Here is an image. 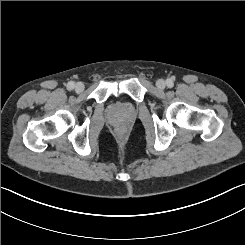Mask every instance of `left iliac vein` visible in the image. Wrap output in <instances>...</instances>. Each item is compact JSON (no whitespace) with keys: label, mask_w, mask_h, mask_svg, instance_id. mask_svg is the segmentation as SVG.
Instances as JSON below:
<instances>
[{"label":"left iliac vein","mask_w":245,"mask_h":245,"mask_svg":"<svg viewBox=\"0 0 245 245\" xmlns=\"http://www.w3.org/2000/svg\"><path fill=\"white\" fill-rule=\"evenodd\" d=\"M156 86L157 88L159 89H164L165 86H166V83L163 79H159L157 82H156Z\"/></svg>","instance_id":"1"}]
</instances>
